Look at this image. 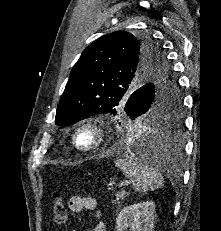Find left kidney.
<instances>
[{"mask_svg":"<svg viewBox=\"0 0 221 231\" xmlns=\"http://www.w3.org/2000/svg\"><path fill=\"white\" fill-rule=\"evenodd\" d=\"M154 219L153 201L126 206L116 218L117 231H153Z\"/></svg>","mask_w":221,"mask_h":231,"instance_id":"1","label":"left kidney"}]
</instances>
